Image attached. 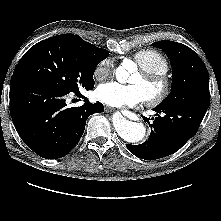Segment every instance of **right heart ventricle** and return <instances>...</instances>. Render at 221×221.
<instances>
[{"label": "right heart ventricle", "mask_w": 221, "mask_h": 221, "mask_svg": "<svg viewBox=\"0 0 221 221\" xmlns=\"http://www.w3.org/2000/svg\"><path fill=\"white\" fill-rule=\"evenodd\" d=\"M133 58L143 70L166 73L169 69L166 58L160 52L153 49L140 50L134 54Z\"/></svg>", "instance_id": "obj_1"}]
</instances>
